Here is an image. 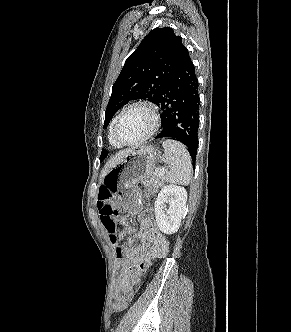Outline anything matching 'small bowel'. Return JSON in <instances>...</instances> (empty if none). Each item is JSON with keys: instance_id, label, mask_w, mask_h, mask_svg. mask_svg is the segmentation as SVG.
<instances>
[{"instance_id": "obj_1", "label": "small bowel", "mask_w": 291, "mask_h": 332, "mask_svg": "<svg viewBox=\"0 0 291 332\" xmlns=\"http://www.w3.org/2000/svg\"><path fill=\"white\" fill-rule=\"evenodd\" d=\"M124 226L121 238L133 232L127 219H122ZM134 245L122 246L117 249L116 271L119 279L115 286L114 294L120 298L131 290L137 283L141 274L148 268L152 259L163 258L168 253V242L156 225L150 214L139 216V229L132 236Z\"/></svg>"}]
</instances>
